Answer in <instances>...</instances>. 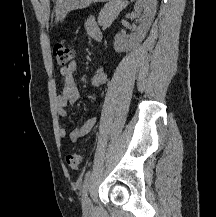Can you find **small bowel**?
Listing matches in <instances>:
<instances>
[{"mask_svg": "<svg viewBox=\"0 0 216 217\" xmlns=\"http://www.w3.org/2000/svg\"><path fill=\"white\" fill-rule=\"evenodd\" d=\"M86 30L88 35L95 41L102 40V33L97 23L93 18H88L86 21ZM77 69V63L75 61L70 62L67 66L60 68V74L64 80V87L61 93L56 98V111L59 116H65L67 114V107L75 104L80 99V92L75 84V71ZM107 74L103 67L92 77L91 85L93 87H99L106 83ZM96 124V117L87 119L80 127L73 129L69 134V139L72 142H77L84 138L92 130ZM59 136L62 139L67 138L65 128L59 126Z\"/></svg>", "mask_w": 216, "mask_h": 217, "instance_id": "obj_1", "label": "small bowel"}]
</instances>
